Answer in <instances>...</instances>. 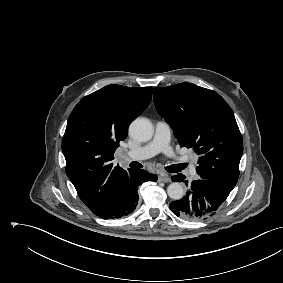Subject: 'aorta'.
Returning <instances> with one entry per match:
<instances>
[{"mask_svg":"<svg viewBox=\"0 0 283 283\" xmlns=\"http://www.w3.org/2000/svg\"><path fill=\"white\" fill-rule=\"evenodd\" d=\"M154 133L151 122L145 118L135 119L129 126L130 136L140 142L149 141ZM168 196L173 200H179L184 195L183 186L178 182H173L167 187Z\"/></svg>","mask_w":283,"mask_h":283,"instance_id":"762f6f07","label":"aorta"}]
</instances>
